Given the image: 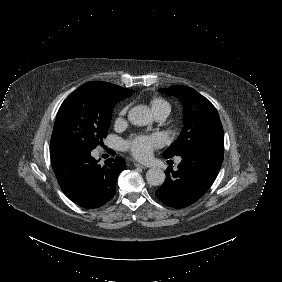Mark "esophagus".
Instances as JSON below:
<instances>
[{"label": "esophagus", "mask_w": 282, "mask_h": 282, "mask_svg": "<svg viewBox=\"0 0 282 282\" xmlns=\"http://www.w3.org/2000/svg\"><path fill=\"white\" fill-rule=\"evenodd\" d=\"M134 166L135 167H139V168H142V169H146L147 167L146 166H144V165H142V164H140V163H134Z\"/></svg>", "instance_id": "esophagus-1"}]
</instances>
